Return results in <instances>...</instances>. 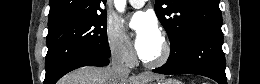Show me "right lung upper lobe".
Instances as JSON below:
<instances>
[{"instance_id":"1","label":"right lung upper lobe","mask_w":260,"mask_h":84,"mask_svg":"<svg viewBox=\"0 0 260 84\" xmlns=\"http://www.w3.org/2000/svg\"><path fill=\"white\" fill-rule=\"evenodd\" d=\"M106 0H50L48 28L100 13Z\"/></svg>"}]
</instances>
